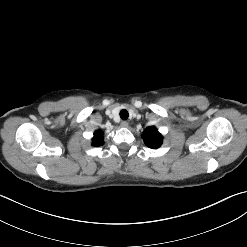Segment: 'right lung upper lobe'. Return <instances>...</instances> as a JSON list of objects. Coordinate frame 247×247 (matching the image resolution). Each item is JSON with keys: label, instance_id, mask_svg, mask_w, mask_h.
I'll use <instances>...</instances> for the list:
<instances>
[{"label": "right lung upper lobe", "instance_id": "1", "mask_svg": "<svg viewBox=\"0 0 247 247\" xmlns=\"http://www.w3.org/2000/svg\"><path fill=\"white\" fill-rule=\"evenodd\" d=\"M104 143L103 133L98 130L94 133L93 145L100 146Z\"/></svg>", "mask_w": 247, "mask_h": 247}]
</instances>
